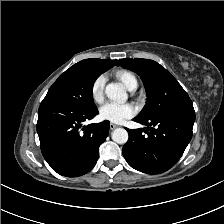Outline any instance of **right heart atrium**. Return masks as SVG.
<instances>
[{
	"instance_id": "d8ad5b80",
	"label": "right heart atrium",
	"mask_w": 224,
	"mask_h": 224,
	"mask_svg": "<svg viewBox=\"0 0 224 224\" xmlns=\"http://www.w3.org/2000/svg\"><path fill=\"white\" fill-rule=\"evenodd\" d=\"M105 83L106 76L101 74L95 78L91 85V96L96 103H101L103 101Z\"/></svg>"
}]
</instances>
